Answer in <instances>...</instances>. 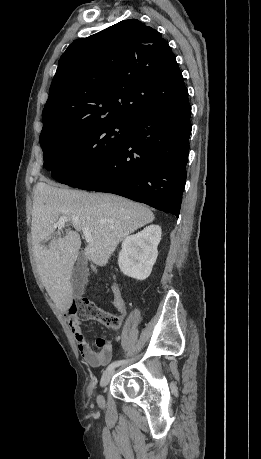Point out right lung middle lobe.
Wrapping results in <instances>:
<instances>
[{
	"mask_svg": "<svg viewBox=\"0 0 261 459\" xmlns=\"http://www.w3.org/2000/svg\"><path fill=\"white\" fill-rule=\"evenodd\" d=\"M132 122L109 120L84 128L54 129L40 135L44 166L63 184L88 174L127 141Z\"/></svg>",
	"mask_w": 261,
	"mask_h": 459,
	"instance_id": "obj_1",
	"label": "right lung middle lobe"
}]
</instances>
